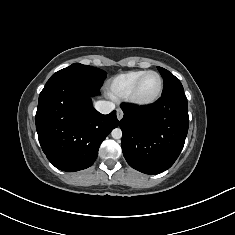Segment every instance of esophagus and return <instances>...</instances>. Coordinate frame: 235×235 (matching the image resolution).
Listing matches in <instances>:
<instances>
[{"mask_svg": "<svg viewBox=\"0 0 235 235\" xmlns=\"http://www.w3.org/2000/svg\"><path fill=\"white\" fill-rule=\"evenodd\" d=\"M116 111H117V118L120 121L123 118V115H124L123 111L119 108Z\"/></svg>", "mask_w": 235, "mask_h": 235, "instance_id": "obj_1", "label": "esophagus"}]
</instances>
